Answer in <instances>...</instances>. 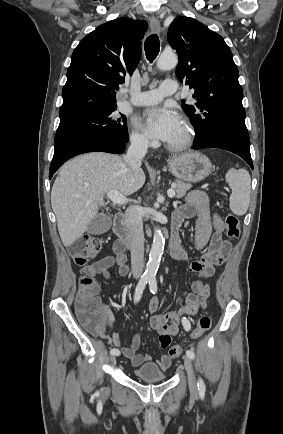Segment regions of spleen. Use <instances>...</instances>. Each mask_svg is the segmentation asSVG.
I'll return each instance as SVG.
<instances>
[{
	"instance_id": "3e777b00",
	"label": "spleen",
	"mask_w": 283,
	"mask_h": 434,
	"mask_svg": "<svg viewBox=\"0 0 283 434\" xmlns=\"http://www.w3.org/2000/svg\"><path fill=\"white\" fill-rule=\"evenodd\" d=\"M226 182L232 190L230 209L238 215H244L249 206L251 193V178L245 169H230L225 175Z\"/></svg>"
}]
</instances>
